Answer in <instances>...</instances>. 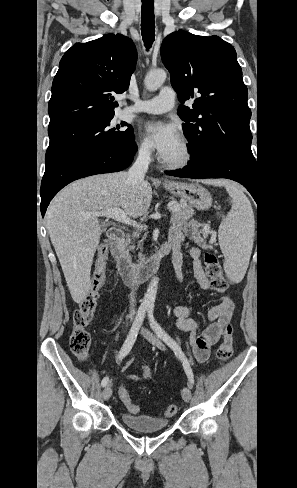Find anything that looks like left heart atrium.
<instances>
[{"instance_id": "1", "label": "left heart atrium", "mask_w": 297, "mask_h": 488, "mask_svg": "<svg viewBox=\"0 0 297 488\" xmlns=\"http://www.w3.org/2000/svg\"><path fill=\"white\" fill-rule=\"evenodd\" d=\"M145 128L161 158H165L180 140L177 128L172 123L148 122Z\"/></svg>"}]
</instances>
